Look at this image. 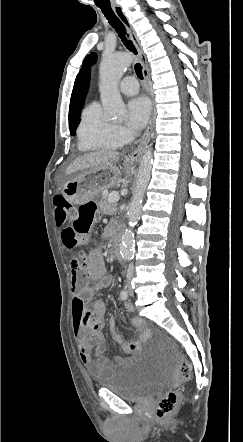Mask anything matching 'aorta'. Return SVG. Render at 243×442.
<instances>
[{
	"instance_id": "obj_1",
	"label": "aorta",
	"mask_w": 243,
	"mask_h": 442,
	"mask_svg": "<svg viewBox=\"0 0 243 442\" xmlns=\"http://www.w3.org/2000/svg\"><path fill=\"white\" fill-rule=\"evenodd\" d=\"M131 65V57L126 53L107 55L100 66L101 98L105 113L112 118H118L125 113V104L119 93L117 84L124 72ZM153 164L151 147L142 156L135 188L128 207V227L122 235L120 254L123 259L130 260L134 253L133 227L140 218L143 198L150 180Z\"/></svg>"
}]
</instances>
